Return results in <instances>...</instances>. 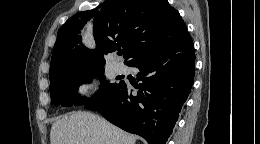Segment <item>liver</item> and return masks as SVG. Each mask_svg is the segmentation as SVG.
I'll list each match as a JSON object with an SVG mask.
<instances>
[{"label": "liver", "mask_w": 260, "mask_h": 144, "mask_svg": "<svg viewBox=\"0 0 260 144\" xmlns=\"http://www.w3.org/2000/svg\"><path fill=\"white\" fill-rule=\"evenodd\" d=\"M136 136L89 112H73L53 123L51 144H135Z\"/></svg>", "instance_id": "1"}]
</instances>
